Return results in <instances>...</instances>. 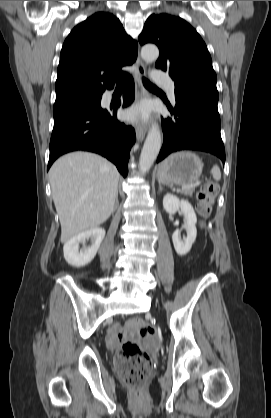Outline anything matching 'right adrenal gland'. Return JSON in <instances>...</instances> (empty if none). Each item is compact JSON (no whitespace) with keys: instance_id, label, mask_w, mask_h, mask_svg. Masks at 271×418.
Returning <instances> with one entry per match:
<instances>
[{"instance_id":"obj_1","label":"right adrenal gland","mask_w":271,"mask_h":418,"mask_svg":"<svg viewBox=\"0 0 271 418\" xmlns=\"http://www.w3.org/2000/svg\"><path fill=\"white\" fill-rule=\"evenodd\" d=\"M118 205H119V201H118V195H117V197H116V203H115V208H117Z\"/></svg>"}]
</instances>
